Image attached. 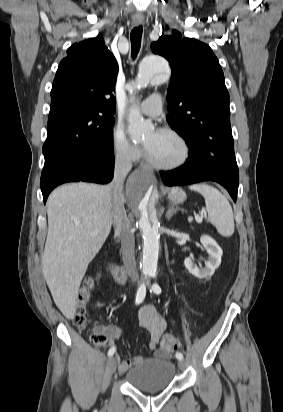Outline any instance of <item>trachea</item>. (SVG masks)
Here are the masks:
<instances>
[{"label":"trachea","instance_id":"trachea-1","mask_svg":"<svg viewBox=\"0 0 283 412\" xmlns=\"http://www.w3.org/2000/svg\"><path fill=\"white\" fill-rule=\"evenodd\" d=\"M141 38H142V27H136L131 31V54L132 58H136L140 46H141Z\"/></svg>","mask_w":283,"mask_h":412}]
</instances>
